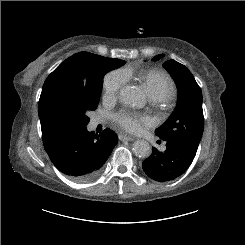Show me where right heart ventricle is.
Returning a JSON list of instances; mask_svg holds the SVG:
<instances>
[{
  "label": "right heart ventricle",
  "instance_id": "right-heart-ventricle-1",
  "mask_svg": "<svg viewBox=\"0 0 245 245\" xmlns=\"http://www.w3.org/2000/svg\"><path fill=\"white\" fill-rule=\"evenodd\" d=\"M124 73L126 77L132 75V73L129 71H125ZM140 77L147 88L150 98L159 97L162 95H167L171 98L174 94V83L170 76L165 72L158 69H151L142 72Z\"/></svg>",
  "mask_w": 245,
  "mask_h": 245
}]
</instances>
